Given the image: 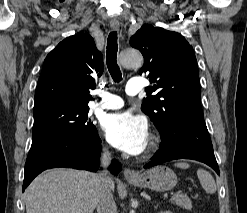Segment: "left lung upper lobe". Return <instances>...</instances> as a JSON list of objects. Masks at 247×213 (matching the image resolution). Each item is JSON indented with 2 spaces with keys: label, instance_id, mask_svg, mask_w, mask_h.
<instances>
[{
  "label": "left lung upper lobe",
  "instance_id": "1",
  "mask_svg": "<svg viewBox=\"0 0 247 213\" xmlns=\"http://www.w3.org/2000/svg\"><path fill=\"white\" fill-rule=\"evenodd\" d=\"M130 44L144 57L140 74L149 72L155 83L146 88L141 110L160 134L168 133L177 120H204L197 60L187 40L177 32L144 24Z\"/></svg>",
  "mask_w": 247,
  "mask_h": 213
}]
</instances>
